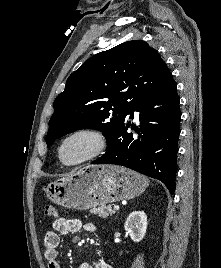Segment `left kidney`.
<instances>
[{"mask_svg":"<svg viewBox=\"0 0 221 268\" xmlns=\"http://www.w3.org/2000/svg\"><path fill=\"white\" fill-rule=\"evenodd\" d=\"M124 228L134 242H140L147 229L146 214L143 211H133L127 217Z\"/></svg>","mask_w":221,"mask_h":268,"instance_id":"left-kidney-1","label":"left kidney"}]
</instances>
